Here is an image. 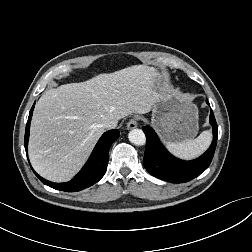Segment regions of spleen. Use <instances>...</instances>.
<instances>
[{
  "label": "spleen",
  "instance_id": "3e777b00",
  "mask_svg": "<svg viewBox=\"0 0 252 252\" xmlns=\"http://www.w3.org/2000/svg\"><path fill=\"white\" fill-rule=\"evenodd\" d=\"M210 131H203L196 139L183 142H169L167 148L176 156L192 159L201 155L210 145Z\"/></svg>",
  "mask_w": 252,
  "mask_h": 252
}]
</instances>
